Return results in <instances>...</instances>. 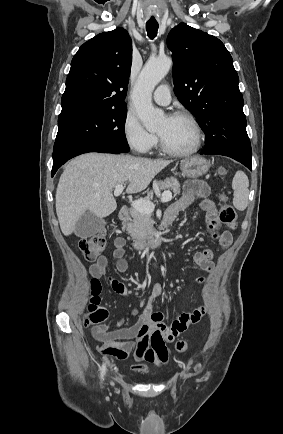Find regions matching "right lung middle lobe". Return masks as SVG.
I'll list each match as a JSON object with an SVG mask.
<instances>
[{"instance_id": "dd1d6c3e", "label": "right lung middle lobe", "mask_w": 283, "mask_h": 434, "mask_svg": "<svg viewBox=\"0 0 283 434\" xmlns=\"http://www.w3.org/2000/svg\"><path fill=\"white\" fill-rule=\"evenodd\" d=\"M126 115L124 107L59 116L53 162L76 149L92 145H105L128 152L124 131Z\"/></svg>"}]
</instances>
